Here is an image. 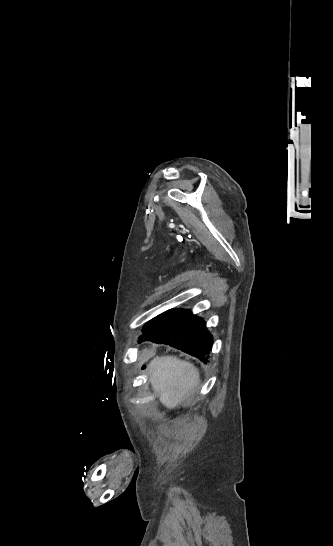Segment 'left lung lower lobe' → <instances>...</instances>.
<instances>
[{"instance_id": "1", "label": "left lung lower lobe", "mask_w": 333, "mask_h": 546, "mask_svg": "<svg viewBox=\"0 0 333 546\" xmlns=\"http://www.w3.org/2000/svg\"><path fill=\"white\" fill-rule=\"evenodd\" d=\"M139 342L152 341L182 350L206 363L213 338L203 318L190 310L171 309L151 319L142 328Z\"/></svg>"}]
</instances>
